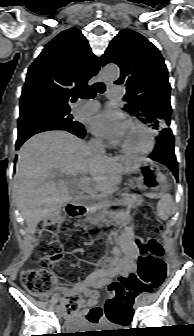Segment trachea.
I'll return each mask as SVG.
<instances>
[{
	"label": "trachea",
	"mask_w": 194,
	"mask_h": 336,
	"mask_svg": "<svg viewBox=\"0 0 194 336\" xmlns=\"http://www.w3.org/2000/svg\"><path fill=\"white\" fill-rule=\"evenodd\" d=\"M105 89L106 87L104 83L102 82L95 83L85 91L74 95L73 101H76L78 98L93 99L96 96L97 91L102 94L105 92Z\"/></svg>",
	"instance_id": "3493384b"
}]
</instances>
